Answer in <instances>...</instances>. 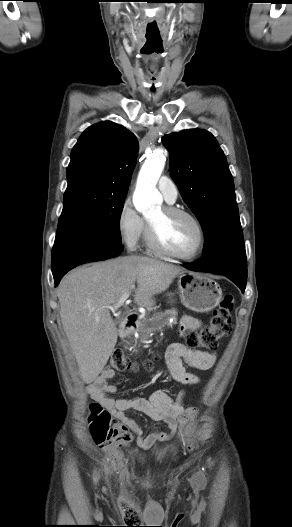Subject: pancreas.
<instances>
[{"label":"pancreas","instance_id":"pancreas-1","mask_svg":"<svg viewBox=\"0 0 292 527\" xmlns=\"http://www.w3.org/2000/svg\"><path fill=\"white\" fill-rule=\"evenodd\" d=\"M177 314L175 309H170L165 312L156 313L150 319L143 320L138 328L140 339L145 340L152 332L161 330L165 326L176 324ZM171 319L172 322H170Z\"/></svg>","mask_w":292,"mask_h":527}]
</instances>
